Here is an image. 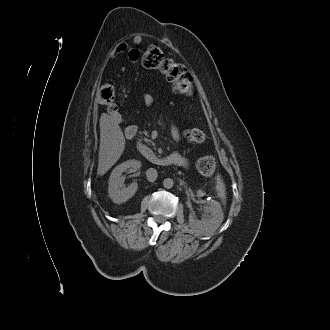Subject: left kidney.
Wrapping results in <instances>:
<instances>
[{
	"label": "left kidney",
	"mask_w": 330,
	"mask_h": 330,
	"mask_svg": "<svg viewBox=\"0 0 330 330\" xmlns=\"http://www.w3.org/2000/svg\"><path fill=\"white\" fill-rule=\"evenodd\" d=\"M224 219L219 202L211 200L204 206V215L196 220L193 213L189 215V226L195 234L209 236L215 232Z\"/></svg>",
	"instance_id": "5707ae66"
}]
</instances>
